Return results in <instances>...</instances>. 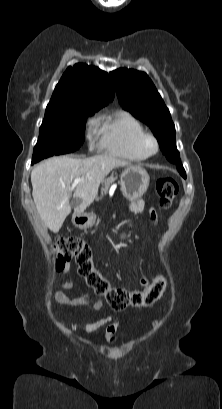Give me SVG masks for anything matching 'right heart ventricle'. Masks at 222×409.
<instances>
[{
    "instance_id": "obj_1",
    "label": "right heart ventricle",
    "mask_w": 222,
    "mask_h": 409,
    "mask_svg": "<svg viewBox=\"0 0 222 409\" xmlns=\"http://www.w3.org/2000/svg\"><path fill=\"white\" fill-rule=\"evenodd\" d=\"M99 125V145L107 154L129 161L147 158L139 148V139L145 129L133 114L116 110L103 115Z\"/></svg>"
}]
</instances>
